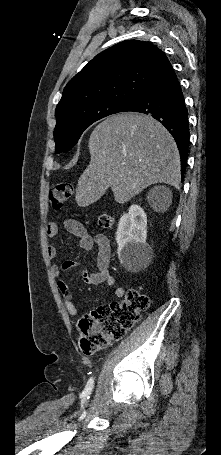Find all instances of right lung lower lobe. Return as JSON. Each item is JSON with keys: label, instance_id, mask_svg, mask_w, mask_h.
<instances>
[{"label": "right lung lower lobe", "instance_id": "obj_1", "mask_svg": "<svg viewBox=\"0 0 221 455\" xmlns=\"http://www.w3.org/2000/svg\"><path fill=\"white\" fill-rule=\"evenodd\" d=\"M124 111L149 114L171 133L180 153L183 181L189 154L188 111L180 84L169 60L140 96Z\"/></svg>", "mask_w": 221, "mask_h": 455}]
</instances>
